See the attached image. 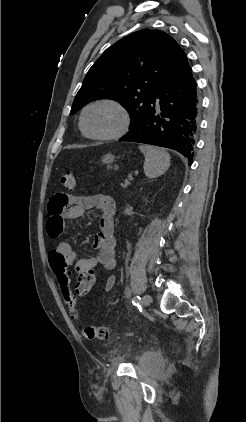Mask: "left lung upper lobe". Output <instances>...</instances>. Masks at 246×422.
<instances>
[{
    "mask_svg": "<svg viewBox=\"0 0 246 422\" xmlns=\"http://www.w3.org/2000/svg\"><path fill=\"white\" fill-rule=\"evenodd\" d=\"M182 53L179 44L162 31L143 29L122 38L90 68L70 114L91 101L113 99L129 110L133 129Z\"/></svg>",
    "mask_w": 246,
    "mask_h": 422,
    "instance_id": "obj_1",
    "label": "left lung upper lobe"
}]
</instances>
